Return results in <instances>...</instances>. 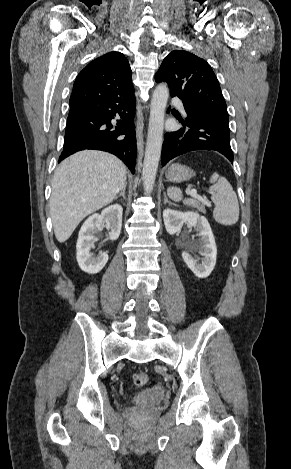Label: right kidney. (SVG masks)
Here are the masks:
<instances>
[{
	"instance_id": "obj_1",
	"label": "right kidney",
	"mask_w": 291,
	"mask_h": 469,
	"mask_svg": "<svg viewBox=\"0 0 291 469\" xmlns=\"http://www.w3.org/2000/svg\"><path fill=\"white\" fill-rule=\"evenodd\" d=\"M123 208L119 204L105 208L101 214H93L82 225L76 244V258L81 270L89 274L100 272L108 261L106 252H99L94 255L90 252L94 247L95 234L101 227L102 222L106 223V228L110 230V240H116L121 232Z\"/></svg>"
}]
</instances>
